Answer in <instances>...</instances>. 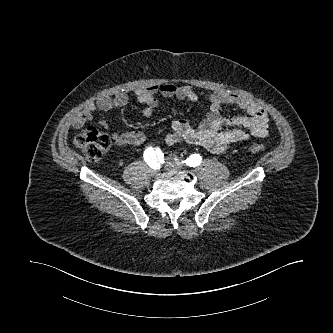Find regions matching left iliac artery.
Masks as SVG:
<instances>
[{
  "mask_svg": "<svg viewBox=\"0 0 333 333\" xmlns=\"http://www.w3.org/2000/svg\"><path fill=\"white\" fill-rule=\"evenodd\" d=\"M183 163H186L189 166L196 167L201 164L202 157L199 154H193L189 158H187L185 161H182Z\"/></svg>",
  "mask_w": 333,
  "mask_h": 333,
  "instance_id": "obj_1",
  "label": "left iliac artery"
}]
</instances>
